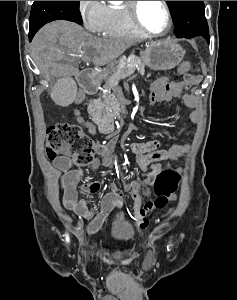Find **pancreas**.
<instances>
[{"label": "pancreas", "instance_id": "1", "mask_svg": "<svg viewBox=\"0 0 237 300\" xmlns=\"http://www.w3.org/2000/svg\"><path fill=\"white\" fill-rule=\"evenodd\" d=\"M126 65L124 67H115L112 73H110V77H107L105 85H103V89H113V87H117L119 81L121 79H127L129 73H135L138 71L139 75H144L145 73V65L142 63L140 57H136V55H131L129 63L125 61ZM129 68H132V71H129ZM134 69V70H133ZM103 99V111L104 113H108L110 117H119L120 115V103L118 99H116L115 95L111 93V95H106V97H102Z\"/></svg>", "mask_w": 237, "mask_h": 300}]
</instances>
